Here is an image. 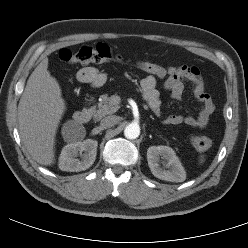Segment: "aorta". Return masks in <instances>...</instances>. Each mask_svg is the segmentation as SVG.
<instances>
[{
    "instance_id": "obj_1",
    "label": "aorta",
    "mask_w": 248,
    "mask_h": 248,
    "mask_svg": "<svg viewBox=\"0 0 248 248\" xmlns=\"http://www.w3.org/2000/svg\"><path fill=\"white\" fill-rule=\"evenodd\" d=\"M124 135L127 139H136L140 135V127L136 123H131L126 126L124 130Z\"/></svg>"
}]
</instances>
